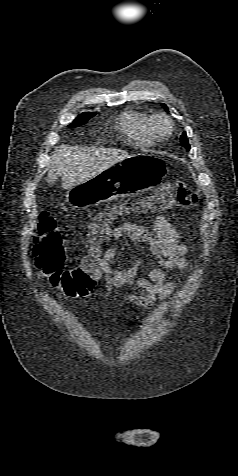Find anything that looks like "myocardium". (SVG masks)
I'll return each mask as SVG.
<instances>
[{"label": "myocardium", "instance_id": "1", "mask_svg": "<svg viewBox=\"0 0 238 476\" xmlns=\"http://www.w3.org/2000/svg\"><path fill=\"white\" fill-rule=\"evenodd\" d=\"M151 129L156 139L165 140L172 136L174 123L168 116L158 114L151 118Z\"/></svg>", "mask_w": 238, "mask_h": 476}]
</instances>
